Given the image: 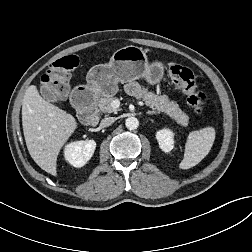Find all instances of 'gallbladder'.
I'll use <instances>...</instances> for the list:
<instances>
[{
    "label": "gallbladder",
    "instance_id": "obj_1",
    "mask_svg": "<svg viewBox=\"0 0 252 252\" xmlns=\"http://www.w3.org/2000/svg\"><path fill=\"white\" fill-rule=\"evenodd\" d=\"M41 95L50 102H57L58 97L48 86H41Z\"/></svg>",
    "mask_w": 252,
    "mask_h": 252
}]
</instances>
